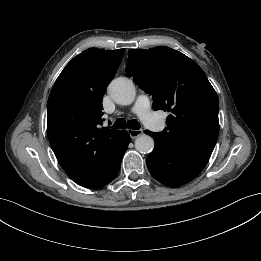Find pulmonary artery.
<instances>
[{
	"label": "pulmonary artery",
	"mask_w": 261,
	"mask_h": 261,
	"mask_svg": "<svg viewBox=\"0 0 261 261\" xmlns=\"http://www.w3.org/2000/svg\"><path fill=\"white\" fill-rule=\"evenodd\" d=\"M132 112L137 114L142 122L150 128H156L159 124L156 115L151 109L150 99L146 94H140L137 97Z\"/></svg>",
	"instance_id": "pulmonary-artery-1"
}]
</instances>
